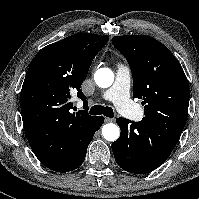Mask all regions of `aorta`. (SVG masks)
Returning a JSON list of instances; mask_svg holds the SVG:
<instances>
[{
	"label": "aorta",
	"mask_w": 199,
	"mask_h": 199,
	"mask_svg": "<svg viewBox=\"0 0 199 199\" xmlns=\"http://www.w3.org/2000/svg\"><path fill=\"white\" fill-rule=\"evenodd\" d=\"M94 80L99 87L107 88L114 81V74L109 68H100L94 75ZM102 135L107 141H115L119 138L120 129L116 124L108 123L102 128Z\"/></svg>",
	"instance_id": "762f6f07"
}]
</instances>
